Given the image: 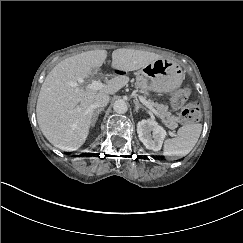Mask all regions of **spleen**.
I'll use <instances>...</instances> for the list:
<instances>
[{
	"instance_id": "1",
	"label": "spleen",
	"mask_w": 243,
	"mask_h": 243,
	"mask_svg": "<svg viewBox=\"0 0 243 243\" xmlns=\"http://www.w3.org/2000/svg\"><path fill=\"white\" fill-rule=\"evenodd\" d=\"M202 131L201 124H187L178 129L177 136L164 142L165 156H185L196 145Z\"/></svg>"
}]
</instances>
